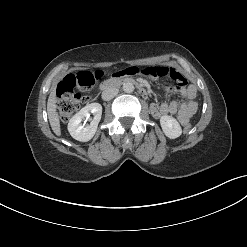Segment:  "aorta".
I'll return each mask as SVG.
<instances>
[{
  "mask_svg": "<svg viewBox=\"0 0 247 247\" xmlns=\"http://www.w3.org/2000/svg\"><path fill=\"white\" fill-rule=\"evenodd\" d=\"M123 91L126 93H132L134 91V85L130 82L123 84Z\"/></svg>",
  "mask_w": 247,
  "mask_h": 247,
  "instance_id": "1",
  "label": "aorta"
}]
</instances>
